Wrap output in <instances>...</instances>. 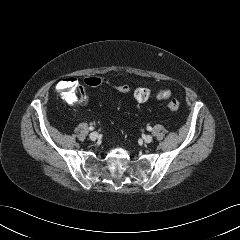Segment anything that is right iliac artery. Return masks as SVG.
<instances>
[{
    "mask_svg": "<svg viewBox=\"0 0 240 240\" xmlns=\"http://www.w3.org/2000/svg\"><path fill=\"white\" fill-rule=\"evenodd\" d=\"M89 130H91V131L94 130V127H93V126H90V127H89Z\"/></svg>",
    "mask_w": 240,
    "mask_h": 240,
    "instance_id": "right-iliac-artery-1",
    "label": "right iliac artery"
}]
</instances>
